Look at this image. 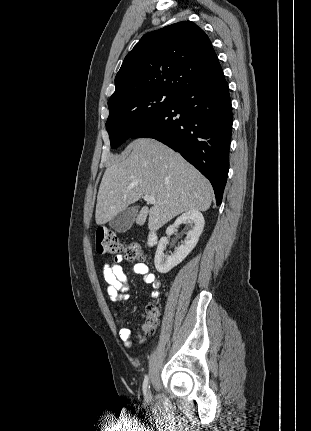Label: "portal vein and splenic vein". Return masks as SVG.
I'll return each instance as SVG.
<instances>
[{
  "label": "portal vein and splenic vein",
  "mask_w": 311,
  "mask_h": 431,
  "mask_svg": "<svg viewBox=\"0 0 311 431\" xmlns=\"http://www.w3.org/2000/svg\"><path fill=\"white\" fill-rule=\"evenodd\" d=\"M143 198L147 204H160V202H156L155 198H152V196H143Z\"/></svg>",
  "instance_id": "obj_1"
}]
</instances>
